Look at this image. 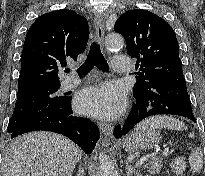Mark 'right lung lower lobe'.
I'll use <instances>...</instances> for the list:
<instances>
[{
  "mask_svg": "<svg viewBox=\"0 0 205 176\" xmlns=\"http://www.w3.org/2000/svg\"><path fill=\"white\" fill-rule=\"evenodd\" d=\"M38 130L62 134L77 143L86 153L93 151L100 137L99 129L93 122L73 116L70 97H65L59 104H50L10 135L13 138Z\"/></svg>",
  "mask_w": 205,
  "mask_h": 176,
  "instance_id": "1",
  "label": "right lung lower lobe"
}]
</instances>
